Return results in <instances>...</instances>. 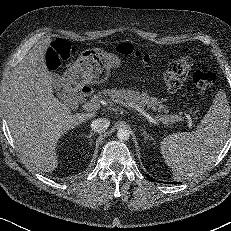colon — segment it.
Instances as JSON below:
<instances>
[{
  "label": "colon",
  "instance_id": "colon-1",
  "mask_svg": "<svg viewBox=\"0 0 231 231\" xmlns=\"http://www.w3.org/2000/svg\"><path fill=\"white\" fill-rule=\"evenodd\" d=\"M116 52L122 56H132L139 59L142 63L148 64L150 58L147 54L135 49L131 44H120ZM74 48L65 39H56L46 52V63L49 69H59L71 54ZM193 64L190 56H182L170 63L165 72V81L170 91H178ZM192 83L195 91L200 96H207L215 83V76L210 72L197 71L192 76Z\"/></svg>",
  "mask_w": 231,
  "mask_h": 231
}]
</instances>
